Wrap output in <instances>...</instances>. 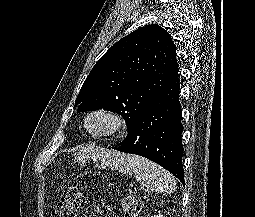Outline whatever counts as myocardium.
<instances>
[{
    "label": "myocardium",
    "mask_w": 255,
    "mask_h": 217,
    "mask_svg": "<svg viewBox=\"0 0 255 217\" xmlns=\"http://www.w3.org/2000/svg\"><path fill=\"white\" fill-rule=\"evenodd\" d=\"M96 116L106 118L110 122L109 127L101 131H92L88 124L90 119ZM125 123V118L119 111L110 107H98L86 114L83 120V128L93 138L106 139L120 134L125 127Z\"/></svg>",
    "instance_id": "1"
}]
</instances>
